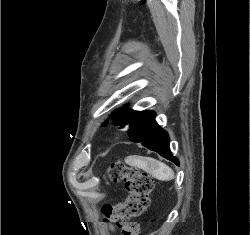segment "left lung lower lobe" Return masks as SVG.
Returning <instances> with one entry per match:
<instances>
[{
	"mask_svg": "<svg viewBox=\"0 0 250 235\" xmlns=\"http://www.w3.org/2000/svg\"><path fill=\"white\" fill-rule=\"evenodd\" d=\"M128 126L133 142H142V145L149 150L156 151L161 156L179 165V160L170 151V139L167 132L155 121V112L148 110L131 111Z\"/></svg>",
	"mask_w": 250,
	"mask_h": 235,
	"instance_id": "0a47b994",
	"label": "left lung lower lobe"
}]
</instances>
